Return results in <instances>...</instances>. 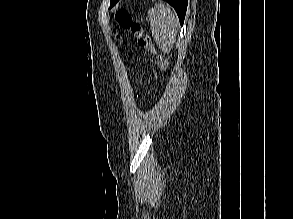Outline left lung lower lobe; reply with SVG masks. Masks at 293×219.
Masks as SVG:
<instances>
[{
  "label": "left lung lower lobe",
  "instance_id": "0a47b994",
  "mask_svg": "<svg viewBox=\"0 0 293 219\" xmlns=\"http://www.w3.org/2000/svg\"><path fill=\"white\" fill-rule=\"evenodd\" d=\"M119 0H117L114 4L110 5V7L114 6ZM168 2L177 12L180 24H183L188 0H165Z\"/></svg>",
  "mask_w": 293,
  "mask_h": 219
}]
</instances>
